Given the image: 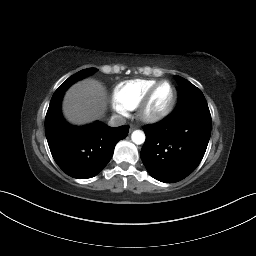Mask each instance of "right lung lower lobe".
I'll list each match as a JSON object with an SVG mask.
<instances>
[{
    "label": "right lung lower lobe",
    "instance_id": "obj_1",
    "mask_svg": "<svg viewBox=\"0 0 256 256\" xmlns=\"http://www.w3.org/2000/svg\"><path fill=\"white\" fill-rule=\"evenodd\" d=\"M64 94V93H63ZM63 94L52 97L45 118V134L51 154L69 176H96L110 161L116 143L128 134V126L109 127L101 122L74 127L61 115Z\"/></svg>",
    "mask_w": 256,
    "mask_h": 256
}]
</instances>
